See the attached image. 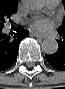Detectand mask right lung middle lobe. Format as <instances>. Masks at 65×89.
I'll return each instance as SVG.
<instances>
[{
  "label": "right lung middle lobe",
  "instance_id": "dd1d6c3e",
  "mask_svg": "<svg viewBox=\"0 0 65 89\" xmlns=\"http://www.w3.org/2000/svg\"><path fill=\"white\" fill-rule=\"evenodd\" d=\"M16 11V5L0 0V29H3L4 22Z\"/></svg>",
  "mask_w": 65,
  "mask_h": 89
}]
</instances>
